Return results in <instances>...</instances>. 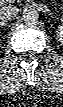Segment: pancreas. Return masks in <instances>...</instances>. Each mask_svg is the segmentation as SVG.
<instances>
[{
    "label": "pancreas",
    "mask_w": 63,
    "mask_h": 107,
    "mask_svg": "<svg viewBox=\"0 0 63 107\" xmlns=\"http://www.w3.org/2000/svg\"><path fill=\"white\" fill-rule=\"evenodd\" d=\"M9 3H12L13 1H8Z\"/></svg>",
    "instance_id": "pancreas-1"
}]
</instances>
